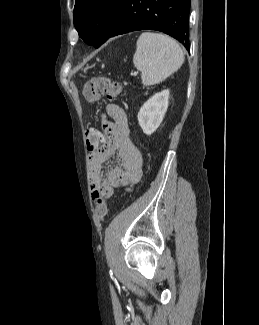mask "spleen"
<instances>
[{
  "instance_id": "spleen-1",
  "label": "spleen",
  "mask_w": 259,
  "mask_h": 325,
  "mask_svg": "<svg viewBox=\"0 0 259 325\" xmlns=\"http://www.w3.org/2000/svg\"><path fill=\"white\" fill-rule=\"evenodd\" d=\"M136 45L133 63L141 72V80L145 86L164 81L184 62L181 47L167 35L144 32L138 38Z\"/></svg>"
}]
</instances>
